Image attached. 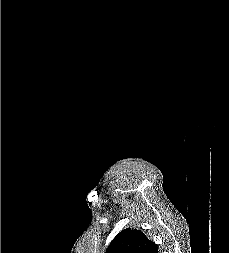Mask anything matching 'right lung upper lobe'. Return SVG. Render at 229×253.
<instances>
[{
    "label": "right lung upper lobe",
    "instance_id": "cb5924a9",
    "mask_svg": "<svg viewBox=\"0 0 229 253\" xmlns=\"http://www.w3.org/2000/svg\"><path fill=\"white\" fill-rule=\"evenodd\" d=\"M105 253H158V248L140 230L126 228L113 239Z\"/></svg>",
    "mask_w": 229,
    "mask_h": 253
}]
</instances>
